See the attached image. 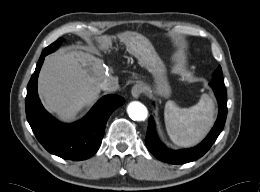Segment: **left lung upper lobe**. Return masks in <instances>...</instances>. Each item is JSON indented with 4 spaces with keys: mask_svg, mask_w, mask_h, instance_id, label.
<instances>
[{
    "mask_svg": "<svg viewBox=\"0 0 260 192\" xmlns=\"http://www.w3.org/2000/svg\"><path fill=\"white\" fill-rule=\"evenodd\" d=\"M211 82L223 83L222 69L220 66L213 73V79Z\"/></svg>",
    "mask_w": 260,
    "mask_h": 192,
    "instance_id": "left-lung-upper-lobe-1",
    "label": "left lung upper lobe"
}]
</instances>
